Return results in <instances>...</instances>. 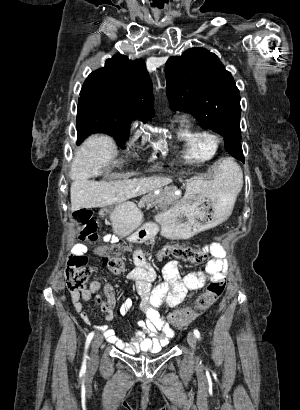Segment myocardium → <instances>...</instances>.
Wrapping results in <instances>:
<instances>
[{"mask_svg":"<svg viewBox=\"0 0 300 410\" xmlns=\"http://www.w3.org/2000/svg\"><path fill=\"white\" fill-rule=\"evenodd\" d=\"M211 141H212L214 146H217L223 141V138H222L221 135H219L217 133H213V134H211Z\"/></svg>","mask_w":300,"mask_h":410,"instance_id":"obj_1","label":"myocardium"}]
</instances>
